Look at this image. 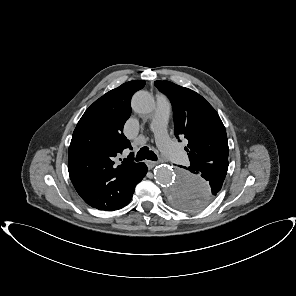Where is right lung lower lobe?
<instances>
[{
  "mask_svg": "<svg viewBox=\"0 0 296 296\" xmlns=\"http://www.w3.org/2000/svg\"><path fill=\"white\" fill-rule=\"evenodd\" d=\"M146 173H147V166L143 162L139 163L136 166V168L134 169L133 174H132V180H131L132 195L134 193V189H135L136 184L139 183L144 178ZM132 195H131V198H132Z\"/></svg>",
  "mask_w": 296,
  "mask_h": 296,
  "instance_id": "1",
  "label": "right lung lower lobe"
}]
</instances>
